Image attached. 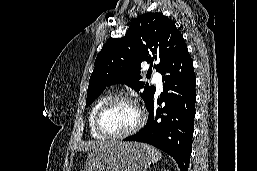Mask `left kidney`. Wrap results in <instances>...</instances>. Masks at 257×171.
<instances>
[{
	"label": "left kidney",
	"instance_id": "5707ae66",
	"mask_svg": "<svg viewBox=\"0 0 257 171\" xmlns=\"http://www.w3.org/2000/svg\"><path fill=\"white\" fill-rule=\"evenodd\" d=\"M161 171H169V170H166V169H165V170H161Z\"/></svg>",
	"mask_w": 257,
	"mask_h": 171
}]
</instances>
